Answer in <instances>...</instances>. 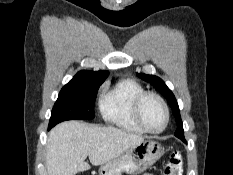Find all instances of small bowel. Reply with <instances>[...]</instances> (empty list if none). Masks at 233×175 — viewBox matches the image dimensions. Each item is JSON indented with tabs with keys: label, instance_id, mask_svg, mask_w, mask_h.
I'll list each match as a JSON object with an SVG mask.
<instances>
[{
	"label": "small bowel",
	"instance_id": "obj_1",
	"mask_svg": "<svg viewBox=\"0 0 233 175\" xmlns=\"http://www.w3.org/2000/svg\"><path fill=\"white\" fill-rule=\"evenodd\" d=\"M144 175H152V174H144Z\"/></svg>",
	"mask_w": 233,
	"mask_h": 175
}]
</instances>
